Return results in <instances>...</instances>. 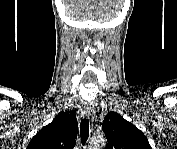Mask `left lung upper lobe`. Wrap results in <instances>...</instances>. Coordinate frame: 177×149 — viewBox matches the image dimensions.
I'll return each mask as SVG.
<instances>
[{"label": "left lung upper lobe", "mask_w": 177, "mask_h": 149, "mask_svg": "<svg viewBox=\"0 0 177 149\" xmlns=\"http://www.w3.org/2000/svg\"><path fill=\"white\" fill-rule=\"evenodd\" d=\"M102 129L108 142L106 149H151L143 132L117 112L105 117Z\"/></svg>", "instance_id": "1"}]
</instances>
